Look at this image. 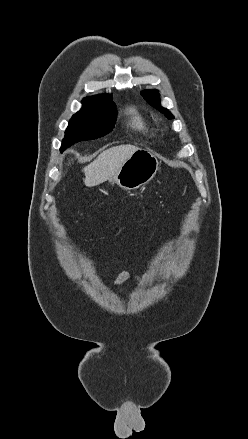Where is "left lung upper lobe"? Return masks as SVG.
Returning <instances> with one entry per match:
<instances>
[{
	"label": "left lung upper lobe",
	"mask_w": 248,
	"mask_h": 439,
	"mask_svg": "<svg viewBox=\"0 0 248 439\" xmlns=\"http://www.w3.org/2000/svg\"><path fill=\"white\" fill-rule=\"evenodd\" d=\"M141 94L149 104L164 113L168 118H173L172 114L160 105L159 92L157 90H145Z\"/></svg>",
	"instance_id": "1"
}]
</instances>
